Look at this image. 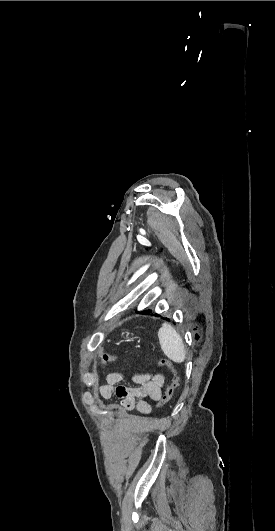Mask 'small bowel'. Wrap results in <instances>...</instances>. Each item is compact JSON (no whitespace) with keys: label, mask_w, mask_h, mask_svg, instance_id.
<instances>
[{"label":"small bowel","mask_w":275,"mask_h":531,"mask_svg":"<svg viewBox=\"0 0 275 531\" xmlns=\"http://www.w3.org/2000/svg\"><path fill=\"white\" fill-rule=\"evenodd\" d=\"M124 381L121 372H111L107 375L106 384L100 386L99 393L103 399H111L115 396V390ZM136 386L126 387V396L121 398L120 409L131 411L136 409L140 414L146 415L151 412L150 401H159L162 398V388L165 378L162 374H141L133 378Z\"/></svg>","instance_id":"c3829d8e"}]
</instances>
